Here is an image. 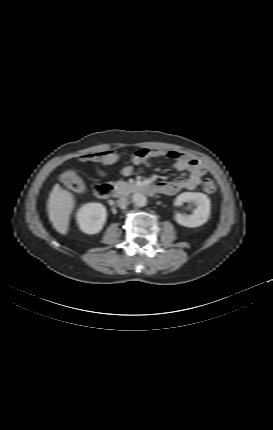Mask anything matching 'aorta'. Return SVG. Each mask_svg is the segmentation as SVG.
Instances as JSON below:
<instances>
[{"mask_svg":"<svg viewBox=\"0 0 273 430\" xmlns=\"http://www.w3.org/2000/svg\"><path fill=\"white\" fill-rule=\"evenodd\" d=\"M132 202L137 207H144L147 204V198L145 195L141 193H135L132 196Z\"/></svg>","mask_w":273,"mask_h":430,"instance_id":"762f6f07","label":"aorta"}]
</instances>
